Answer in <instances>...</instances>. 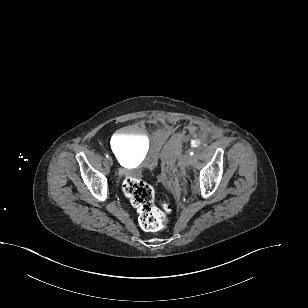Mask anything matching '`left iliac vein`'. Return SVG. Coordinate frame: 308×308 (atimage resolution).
<instances>
[{
  "label": "left iliac vein",
  "instance_id": "4c4485c4",
  "mask_svg": "<svg viewBox=\"0 0 308 308\" xmlns=\"http://www.w3.org/2000/svg\"><path fill=\"white\" fill-rule=\"evenodd\" d=\"M181 162L183 166L188 167L192 164L193 157L189 153H186L183 155Z\"/></svg>",
  "mask_w": 308,
  "mask_h": 308
}]
</instances>
